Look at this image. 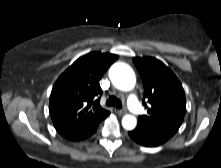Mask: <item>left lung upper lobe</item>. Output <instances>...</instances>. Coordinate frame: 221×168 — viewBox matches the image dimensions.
I'll return each mask as SVG.
<instances>
[{"label": "left lung upper lobe", "instance_id": "5c2ea615", "mask_svg": "<svg viewBox=\"0 0 221 168\" xmlns=\"http://www.w3.org/2000/svg\"><path fill=\"white\" fill-rule=\"evenodd\" d=\"M133 62L142 78L144 99L149 104L147 115L138 117V124L173 136L186 112L183 87L175 74L152 57H135ZM143 99V105L147 103Z\"/></svg>", "mask_w": 221, "mask_h": 168}]
</instances>
